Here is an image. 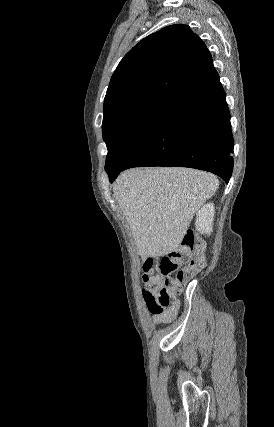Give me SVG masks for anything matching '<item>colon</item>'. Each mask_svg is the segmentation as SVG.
I'll return each mask as SVG.
<instances>
[{
  "label": "colon",
  "mask_w": 274,
  "mask_h": 427,
  "mask_svg": "<svg viewBox=\"0 0 274 427\" xmlns=\"http://www.w3.org/2000/svg\"><path fill=\"white\" fill-rule=\"evenodd\" d=\"M182 248L161 256H148L142 263L146 276V306L152 315H160L179 294L185 280L206 264L205 244L195 241L192 232H180ZM139 286L138 284L136 285Z\"/></svg>",
  "instance_id": "5ec220e1"
}]
</instances>
